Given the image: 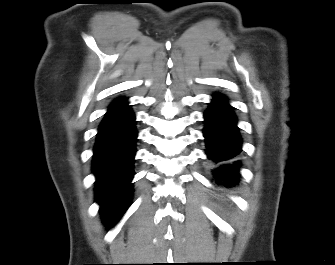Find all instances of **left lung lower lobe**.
Here are the masks:
<instances>
[{
	"mask_svg": "<svg viewBox=\"0 0 335 265\" xmlns=\"http://www.w3.org/2000/svg\"><path fill=\"white\" fill-rule=\"evenodd\" d=\"M206 154L215 162L214 174L224 186L238 182L239 161L236 156L242 151V141L236 125V116L227 98L221 94L214 95L204 114Z\"/></svg>",
	"mask_w": 335,
	"mask_h": 265,
	"instance_id": "1",
	"label": "left lung lower lobe"
}]
</instances>
